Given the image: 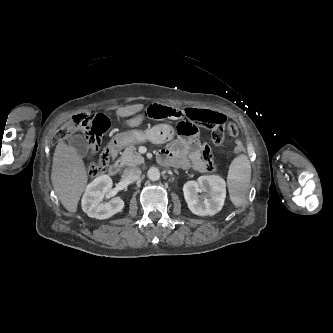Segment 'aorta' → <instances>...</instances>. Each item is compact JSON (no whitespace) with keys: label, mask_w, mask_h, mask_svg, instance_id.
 Segmentation results:
<instances>
[{"label":"aorta","mask_w":333,"mask_h":333,"mask_svg":"<svg viewBox=\"0 0 333 333\" xmlns=\"http://www.w3.org/2000/svg\"><path fill=\"white\" fill-rule=\"evenodd\" d=\"M147 176L150 180L157 181L160 179V171L156 167H151L147 172Z\"/></svg>","instance_id":"762f6f07"}]
</instances>
